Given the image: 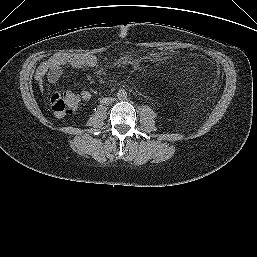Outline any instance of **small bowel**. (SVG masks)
<instances>
[{
    "instance_id": "small-bowel-1",
    "label": "small bowel",
    "mask_w": 257,
    "mask_h": 257,
    "mask_svg": "<svg viewBox=\"0 0 257 257\" xmlns=\"http://www.w3.org/2000/svg\"><path fill=\"white\" fill-rule=\"evenodd\" d=\"M97 65L98 59L93 54H55L47 58L38 66L35 80L41 89H43L45 79L53 88H56L65 69L85 70L94 68ZM81 95L83 99L90 98V93L85 90L81 91Z\"/></svg>"
}]
</instances>
